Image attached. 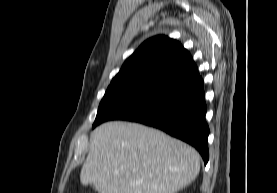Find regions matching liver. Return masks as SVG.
Instances as JSON below:
<instances>
[{
    "label": "liver",
    "mask_w": 277,
    "mask_h": 193,
    "mask_svg": "<svg viewBox=\"0 0 277 193\" xmlns=\"http://www.w3.org/2000/svg\"><path fill=\"white\" fill-rule=\"evenodd\" d=\"M200 171L186 143L137 123L113 121L91 135L80 181L98 193H176Z\"/></svg>",
    "instance_id": "1"
}]
</instances>
